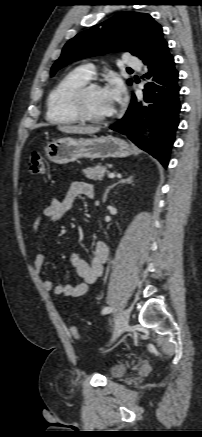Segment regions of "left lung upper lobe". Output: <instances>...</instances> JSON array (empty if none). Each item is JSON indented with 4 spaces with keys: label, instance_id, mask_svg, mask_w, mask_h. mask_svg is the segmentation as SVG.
<instances>
[{
    "label": "left lung upper lobe",
    "instance_id": "1",
    "mask_svg": "<svg viewBox=\"0 0 202 437\" xmlns=\"http://www.w3.org/2000/svg\"><path fill=\"white\" fill-rule=\"evenodd\" d=\"M167 43L162 27L146 13L122 12L70 39L51 68V76L67 64L95 55L129 51L143 62ZM129 85L132 80L127 81Z\"/></svg>",
    "mask_w": 202,
    "mask_h": 437
}]
</instances>
